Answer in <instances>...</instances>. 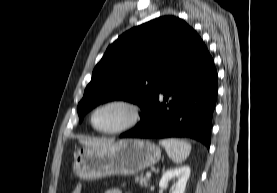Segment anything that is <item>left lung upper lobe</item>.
<instances>
[{"instance_id":"left-lung-upper-lobe-1","label":"left lung upper lobe","mask_w":277,"mask_h":193,"mask_svg":"<svg viewBox=\"0 0 277 193\" xmlns=\"http://www.w3.org/2000/svg\"><path fill=\"white\" fill-rule=\"evenodd\" d=\"M199 35L182 19L164 16L134 27L111 44L78 104L79 121L100 103L119 99L150 109Z\"/></svg>"}]
</instances>
